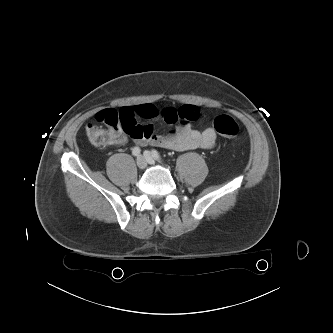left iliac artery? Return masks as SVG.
Here are the masks:
<instances>
[{
	"label": "left iliac artery",
	"mask_w": 333,
	"mask_h": 333,
	"mask_svg": "<svg viewBox=\"0 0 333 333\" xmlns=\"http://www.w3.org/2000/svg\"><path fill=\"white\" fill-rule=\"evenodd\" d=\"M147 152H148V151H146V152L144 153V155L147 154ZM151 155H152V157H154V159H156L157 161L161 162L162 159H161L160 154L158 153L157 150L153 149V150L151 151Z\"/></svg>",
	"instance_id": "obj_1"
}]
</instances>
